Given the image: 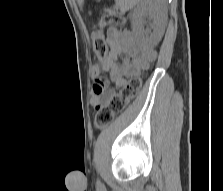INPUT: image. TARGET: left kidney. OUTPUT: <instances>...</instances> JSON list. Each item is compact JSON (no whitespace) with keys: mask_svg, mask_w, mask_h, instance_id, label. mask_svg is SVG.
Listing matches in <instances>:
<instances>
[{"mask_svg":"<svg viewBox=\"0 0 223 191\" xmlns=\"http://www.w3.org/2000/svg\"><path fill=\"white\" fill-rule=\"evenodd\" d=\"M167 0H144L133 16V31L138 42L145 47L156 45L164 32ZM145 18L151 20L145 28Z\"/></svg>","mask_w":223,"mask_h":191,"instance_id":"1","label":"left kidney"}]
</instances>
